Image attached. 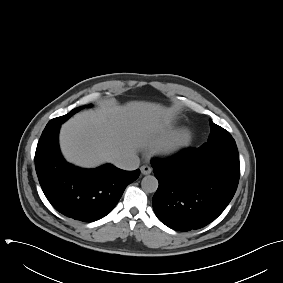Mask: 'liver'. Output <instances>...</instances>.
Wrapping results in <instances>:
<instances>
[{"label":"liver","instance_id":"liver-1","mask_svg":"<svg viewBox=\"0 0 283 283\" xmlns=\"http://www.w3.org/2000/svg\"><path fill=\"white\" fill-rule=\"evenodd\" d=\"M171 118V109L142 101L85 111L62 125L61 150L69 162L81 167L114 163L125 154H135Z\"/></svg>","mask_w":283,"mask_h":283}]
</instances>
